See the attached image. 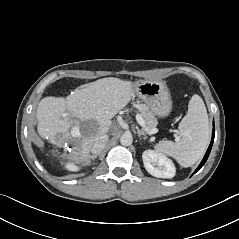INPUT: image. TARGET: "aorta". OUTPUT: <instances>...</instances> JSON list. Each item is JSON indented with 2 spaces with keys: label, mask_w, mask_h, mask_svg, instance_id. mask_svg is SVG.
<instances>
[{
  "label": "aorta",
  "mask_w": 239,
  "mask_h": 239,
  "mask_svg": "<svg viewBox=\"0 0 239 239\" xmlns=\"http://www.w3.org/2000/svg\"><path fill=\"white\" fill-rule=\"evenodd\" d=\"M133 142L132 135L130 133H124L120 138V143L123 146H129Z\"/></svg>",
  "instance_id": "762f6f07"
}]
</instances>
